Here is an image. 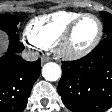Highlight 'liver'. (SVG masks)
<instances>
[{"mask_svg": "<svg viewBox=\"0 0 112 112\" xmlns=\"http://www.w3.org/2000/svg\"><path fill=\"white\" fill-rule=\"evenodd\" d=\"M7 47V35L0 31V53Z\"/></svg>", "mask_w": 112, "mask_h": 112, "instance_id": "liver-1", "label": "liver"}]
</instances>
